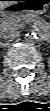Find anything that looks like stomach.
Here are the masks:
<instances>
[{"label": "stomach", "mask_w": 50, "mask_h": 111, "mask_svg": "<svg viewBox=\"0 0 50 111\" xmlns=\"http://www.w3.org/2000/svg\"><path fill=\"white\" fill-rule=\"evenodd\" d=\"M24 3L27 12L36 14L45 13L50 6V0H25Z\"/></svg>", "instance_id": "obj_1"}]
</instances>
